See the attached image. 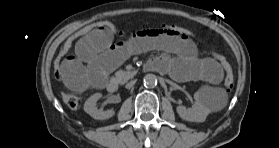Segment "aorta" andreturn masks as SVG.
Instances as JSON below:
<instances>
[{"mask_svg": "<svg viewBox=\"0 0 279 148\" xmlns=\"http://www.w3.org/2000/svg\"><path fill=\"white\" fill-rule=\"evenodd\" d=\"M157 81V76L154 74H146L143 79L144 86L148 88L155 87L157 85Z\"/></svg>", "mask_w": 279, "mask_h": 148, "instance_id": "aorta-1", "label": "aorta"}]
</instances>
